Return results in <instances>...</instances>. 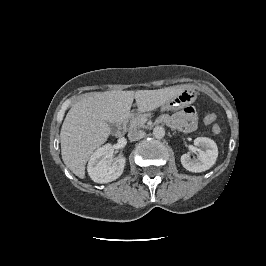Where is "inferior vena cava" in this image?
Instances as JSON below:
<instances>
[{
	"instance_id": "1",
	"label": "inferior vena cava",
	"mask_w": 266,
	"mask_h": 266,
	"mask_svg": "<svg viewBox=\"0 0 266 266\" xmlns=\"http://www.w3.org/2000/svg\"><path fill=\"white\" fill-rule=\"evenodd\" d=\"M145 136V132L142 130H131L128 133V138L131 141H137L142 139Z\"/></svg>"
}]
</instances>
